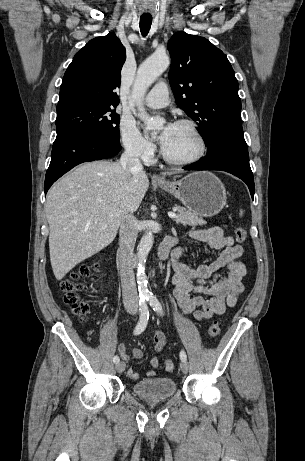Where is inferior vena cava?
Segmentation results:
<instances>
[{"instance_id":"602c4592","label":"inferior vena cava","mask_w":305,"mask_h":461,"mask_svg":"<svg viewBox=\"0 0 305 461\" xmlns=\"http://www.w3.org/2000/svg\"><path fill=\"white\" fill-rule=\"evenodd\" d=\"M139 155V151L132 148H127L121 155L119 164L128 176L132 173H143V166L139 160ZM119 233L118 257L123 303L126 309L137 310L138 295L133 272V251L137 239L138 227L133 212H129L122 217Z\"/></svg>"}]
</instances>
